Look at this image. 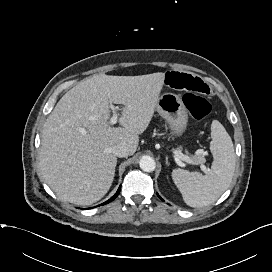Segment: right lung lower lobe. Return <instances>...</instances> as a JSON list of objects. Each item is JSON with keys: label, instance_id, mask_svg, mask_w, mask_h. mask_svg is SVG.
Wrapping results in <instances>:
<instances>
[{"label": "right lung lower lobe", "instance_id": "1", "mask_svg": "<svg viewBox=\"0 0 272 272\" xmlns=\"http://www.w3.org/2000/svg\"><path fill=\"white\" fill-rule=\"evenodd\" d=\"M119 192H120V188L118 189V191L115 193L114 196H112L108 201L104 202L103 204H107V203L113 201L119 195Z\"/></svg>", "mask_w": 272, "mask_h": 272}]
</instances>
